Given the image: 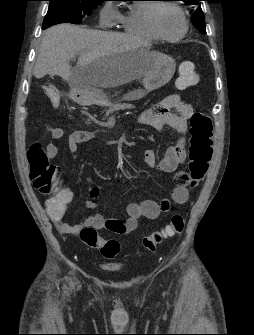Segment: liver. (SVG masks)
Wrapping results in <instances>:
<instances>
[{
  "mask_svg": "<svg viewBox=\"0 0 254 335\" xmlns=\"http://www.w3.org/2000/svg\"><path fill=\"white\" fill-rule=\"evenodd\" d=\"M145 46L131 35L58 24L45 31L34 75H57L80 89L121 86L144 77L152 67L154 58L148 51L126 54ZM74 57L78 61L72 69ZM94 62L98 64L89 68Z\"/></svg>",
  "mask_w": 254,
  "mask_h": 335,
  "instance_id": "liver-1",
  "label": "liver"
}]
</instances>
